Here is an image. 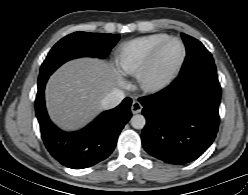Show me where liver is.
I'll return each instance as SVG.
<instances>
[{"mask_svg":"<svg viewBox=\"0 0 248 195\" xmlns=\"http://www.w3.org/2000/svg\"><path fill=\"white\" fill-rule=\"evenodd\" d=\"M118 83L112 65L105 60L69 61L48 81L45 97L49 115L62 129H79L96 116L101 100Z\"/></svg>","mask_w":248,"mask_h":195,"instance_id":"1","label":"liver"}]
</instances>
